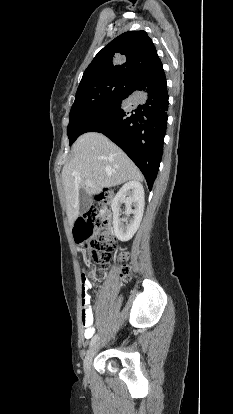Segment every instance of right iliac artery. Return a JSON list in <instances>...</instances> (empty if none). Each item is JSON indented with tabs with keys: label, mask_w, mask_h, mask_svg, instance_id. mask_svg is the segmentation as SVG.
<instances>
[{
	"label": "right iliac artery",
	"mask_w": 233,
	"mask_h": 414,
	"mask_svg": "<svg viewBox=\"0 0 233 414\" xmlns=\"http://www.w3.org/2000/svg\"><path fill=\"white\" fill-rule=\"evenodd\" d=\"M97 339H98V335H95V336L91 339V341H90V347H91V346H93V345L96 343Z\"/></svg>",
	"instance_id": "1"
}]
</instances>
